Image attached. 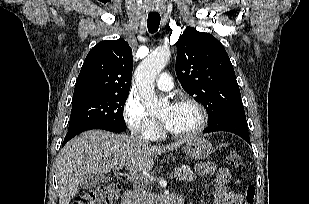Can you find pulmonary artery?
<instances>
[{"label": "pulmonary artery", "mask_w": 309, "mask_h": 204, "mask_svg": "<svg viewBox=\"0 0 309 204\" xmlns=\"http://www.w3.org/2000/svg\"><path fill=\"white\" fill-rule=\"evenodd\" d=\"M155 85L158 89L169 91L173 88V81L168 73H162L155 81Z\"/></svg>", "instance_id": "1"}]
</instances>
